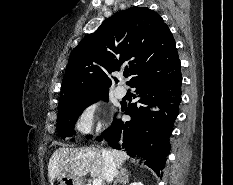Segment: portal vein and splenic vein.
I'll return each mask as SVG.
<instances>
[{
  "mask_svg": "<svg viewBox=\"0 0 233 185\" xmlns=\"http://www.w3.org/2000/svg\"><path fill=\"white\" fill-rule=\"evenodd\" d=\"M93 185H102V180L100 178H96L93 180Z\"/></svg>",
  "mask_w": 233,
  "mask_h": 185,
  "instance_id": "obj_1",
  "label": "portal vein and splenic vein"
}]
</instances>
